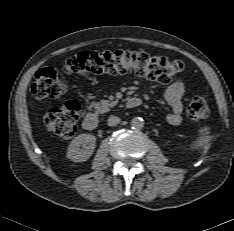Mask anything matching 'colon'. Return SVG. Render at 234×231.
Returning a JSON list of instances; mask_svg holds the SVG:
<instances>
[{"label": "colon", "instance_id": "colon-1", "mask_svg": "<svg viewBox=\"0 0 234 231\" xmlns=\"http://www.w3.org/2000/svg\"><path fill=\"white\" fill-rule=\"evenodd\" d=\"M183 68L180 60L125 50L83 51L70 57L63 67L67 74L82 75H115L130 71L160 83L172 81ZM66 90L67 85L59 80L55 71L50 68L40 69L31 86L33 95L40 99L58 97ZM79 111L80 104L69 101L49 111L44 117V125L59 138L70 139L76 131ZM208 113L206 99L201 95L194 96L187 110L189 119L193 122H202L208 117Z\"/></svg>", "mask_w": 234, "mask_h": 231}]
</instances>
